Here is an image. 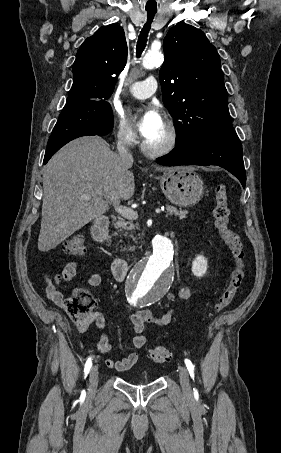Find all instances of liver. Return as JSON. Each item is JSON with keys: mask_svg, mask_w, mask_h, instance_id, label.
<instances>
[{"mask_svg": "<svg viewBox=\"0 0 281 453\" xmlns=\"http://www.w3.org/2000/svg\"><path fill=\"white\" fill-rule=\"evenodd\" d=\"M130 162L101 136H80L60 148L43 168L39 251H51L87 222L134 194ZM155 170H170L155 166ZM82 194H92L83 198Z\"/></svg>", "mask_w": 281, "mask_h": 453, "instance_id": "liver-1", "label": "liver"}]
</instances>
